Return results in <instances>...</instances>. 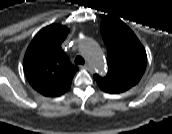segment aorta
Wrapping results in <instances>:
<instances>
[{"label":"aorta","mask_w":172,"mask_h":134,"mask_svg":"<svg viewBox=\"0 0 172 134\" xmlns=\"http://www.w3.org/2000/svg\"><path fill=\"white\" fill-rule=\"evenodd\" d=\"M83 52L90 66L97 73L104 75L107 71L104 56L99 45L93 40L83 42Z\"/></svg>","instance_id":"762f6f07"}]
</instances>
